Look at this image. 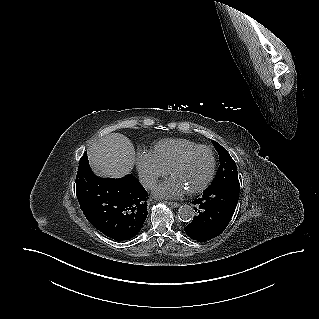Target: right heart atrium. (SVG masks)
<instances>
[{"label":"right heart atrium","mask_w":319,"mask_h":319,"mask_svg":"<svg viewBox=\"0 0 319 319\" xmlns=\"http://www.w3.org/2000/svg\"><path fill=\"white\" fill-rule=\"evenodd\" d=\"M136 167L141 183L151 188L167 173L151 156L149 152H139L136 156Z\"/></svg>","instance_id":"1"}]
</instances>
